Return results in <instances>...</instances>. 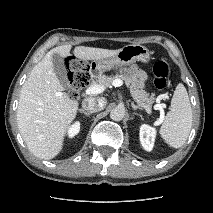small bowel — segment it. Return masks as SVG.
Returning a JSON list of instances; mask_svg holds the SVG:
<instances>
[{"instance_id": "1", "label": "small bowel", "mask_w": 213, "mask_h": 213, "mask_svg": "<svg viewBox=\"0 0 213 213\" xmlns=\"http://www.w3.org/2000/svg\"><path fill=\"white\" fill-rule=\"evenodd\" d=\"M131 76L141 85L146 79L145 72L137 66H132L129 69Z\"/></svg>"}]
</instances>
